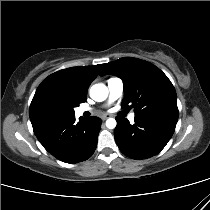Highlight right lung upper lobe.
I'll return each instance as SVG.
<instances>
[{
  "instance_id": "right-lung-upper-lobe-1",
  "label": "right lung upper lobe",
  "mask_w": 210,
  "mask_h": 210,
  "mask_svg": "<svg viewBox=\"0 0 210 210\" xmlns=\"http://www.w3.org/2000/svg\"><path fill=\"white\" fill-rule=\"evenodd\" d=\"M103 64L71 67L49 75L37 88L29 109L30 120L36 111L51 99H69L76 104L85 102L91 82Z\"/></svg>"
}]
</instances>
